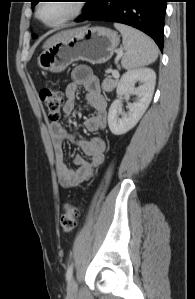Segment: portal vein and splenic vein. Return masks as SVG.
Segmentation results:
<instances>
[{
	"label": "portal vein and splenic vein",
	"mask_w": 195,
	"mask_h": 299,
	"mask_svg": "<svg viewBox=\"0 0 195 299\" xmlns=\"http://www.w3.org/2000/svg\"><path fill=\"white\" fill-rule=\"evenodd\" d=\"M112 76H113L114 78H119V73H118V71H116V70L112 71Z\"/></svg>",
	"instance_id": "obj_1"
}]
</instances>
